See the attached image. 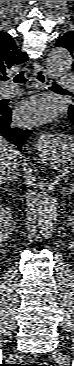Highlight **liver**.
Masks as SVG:
<instances>
[{"instance_id": "obj_1", "label": "liver", "mask_w": 74, "mask_h": 366, "mask_svg": "<svg viewBox=\"0 0 74 366\" xmlns=\"http://www.w3.org/2000/svg\"><path fill=\"white\" fill-rule=\"evenodd\" d=\"M20 151L2 136L0 137V183L18 174Z\"/></svg>"}]
</instances>
